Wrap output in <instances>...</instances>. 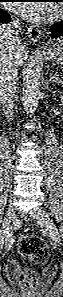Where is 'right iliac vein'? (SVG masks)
I'll use <instances>...</instances> for the list:
<instances>
[{"mask_svg": "<svg viewBox=\"0 0 63 297\" xmlns=\"http://www.w3.org/2000/svg\"><path fill=\"white\" fill-rule=\"evenodd\" d=\"M14 218V209L12 206H9V208L6 211L5 217H4V221L2 224V231L6 230L7 228H9L11 221ZM13 246V237L8 236L6 237V248L10 249Z\"/></svg>", "mask_w": 63, "mask_h": 297, "instance_id": "1", "label": "right iliac vein"}]
</instances>
